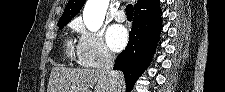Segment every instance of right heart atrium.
I'll return each mask as SVG.
<instances>
[{
    "instance_id": "d8ad5b80",
    "label": "right heart atrium",
    "mask_w": 225,
    "mask_h": 92,
    "mask_svg": "<svg viewBox=\"0 0 225 92\" xmlns=\"http://www.w3.org/2000/svg\"><path fill=\"white\" fill-rule=\"evenodd\" d=\"M77 33L75 54L83 67H97L112 58V53L105 45L101 30H89L81 21L74 24Z\"/></svg>"
}]
</instances>
